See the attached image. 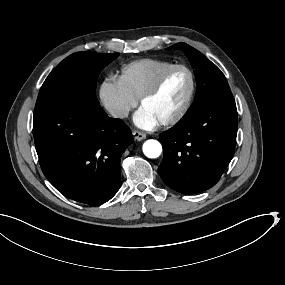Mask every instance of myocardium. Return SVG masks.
<instances>
[{
    "instance_id": "f54148a6",
    "label": "myocardium",
    "mask_w": 285,
    "mask_h": 285,
    "mask_svg": "<svg viewBox=\"0 0 285 285\" xmlns=\"http://www.w3.org/2000/svg\"><path fill=\"white\" fill-rule=\"evenodd\" d=\"M185 74L188 78V82H189V91L188 94L186 96V99L184 101L183 106L173 115L168 116L162 120H160V123L162 125H172L175 124L177 122H179L184 115L188 112L190 106H191V102H192V98H193V91H194V80H193V76L192 73L187 70L186 68L177 66L174 68H171L169 70H167L159 79L158 81L151 87L149 88L147 91H145L139 98V104L143 105L149 98H151L152 96H154L155 94H157L165 85V83L175 74Z\"/></svg>"
}]
</instances>
